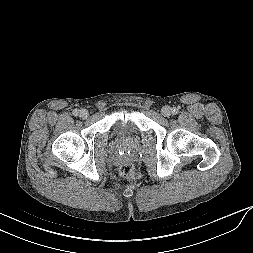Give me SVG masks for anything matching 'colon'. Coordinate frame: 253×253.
<instances>
[{
	"label": "colon",
	"mask_w": 253,
	"mask_h": 253,
	"mask_svg": "<svg viewBox=\"0 0 253 253\" xmlns=\"http://www.w3.org/2000/svg\"><path fill=\"white\" fill-rule=\"evenodd\" d=\"M120 174L123 178L131 180L135 177V169L132 164L125 163L120 167Z\"/></svg>",
	"instance_id": "5ec220e1"
}]
</instances>
